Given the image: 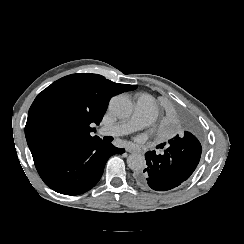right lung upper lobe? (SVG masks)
<instances>
[{"label": "right lung upper lobe", "instance_id": "cb5924a9", "mask_svg": "<svg viewBox=\"0 0 244 244\" xmlns=\"http://www.w3.org/2000/svg\"><path fill=\"white\" fill-rule=\"evenodd\" d=\"M136 88L98 74H72L55 81L29 109L25 136L30 151L92 140L93 125L101 122L111 97Z\"/></svg>", "mask_w": 244, "mask_h": 244}]
</instances>
